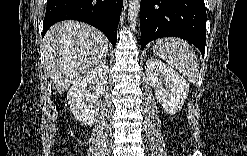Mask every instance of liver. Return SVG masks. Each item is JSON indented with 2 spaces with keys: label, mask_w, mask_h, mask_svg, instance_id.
<instances>
[{
  "label": "liver",
  "mask_w": 247,
  "mask_h": 156,
  "mask_svg": "<svg viewBox=\"0 0 247 156\" xmlns=\"http://www.w3.org/2000/svg\"><path fill=\"white\" fill-rule=\"evenodd\" d=\"M109 42L90 25L62 21L53 25L43 39L45 69L59 94L102 62Z\"/></svg>",
  "instance_id": "6515ba94"
}]
</instances>
